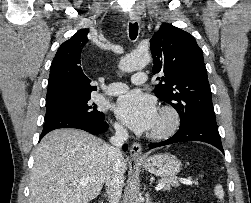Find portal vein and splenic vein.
<instances>
[{
	"mask_svg": "<svg viewBox=\"0 0 251 203\" xmlns=\"http://www.w3.org/2000/svg\"><path fill=\"white\" fill-rule=\"evenodd\" d=\"M181 183L186 184V185H192L193 182L191 180H187V179H180ZM165 187V183H159L156 187L155 190L159 191L161 189H163Z\"/></svg>",
	"mask_w": 251,
	"mask_h": 203,
	"instance_id": "1",
	"label": "portal vein and splenic vein"
}]
</instances>
